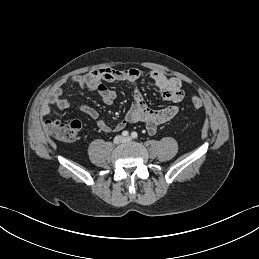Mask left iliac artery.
<instances>
[{"mask_svg": "<svg viewBox=\"0 0 259 259\" xmlns=\"http://www.w3.org/2000/svg\"><path fill=\"white\" fill-rule=\"evenodd\" d=\"M131 137L134 138V139L137 138V137H138L137 132H135V131L132 132V133H131Z\"/></svg>", "mask_w": 259, "mask_h": 259, "instance_id": "44dca946", "label": "left iliac artery"}]
</instances>
